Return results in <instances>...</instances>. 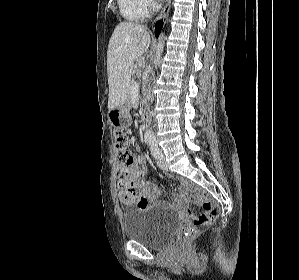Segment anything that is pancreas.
Here are the masks:
<instances>
[{"instance_id":"pancreas-1","label":"pancreas","mask_w":299,"mask_h":280,"mask_svg":"<svg viewBox=\"0 0 299 280\" xmlns=\"http://www.w3.org/2000/svg\"><path fill=\"white\" fill-rule=\"evenodd\" d=\"M130 87L131 86H129V92H128V95H127V99H126V103L128 104V106H132V99H133V97H132V95H131V93H130Z\"/></svg>"}]
</instances>
